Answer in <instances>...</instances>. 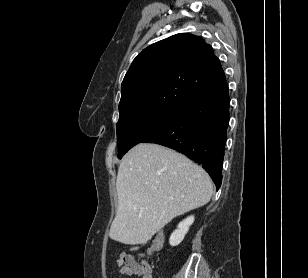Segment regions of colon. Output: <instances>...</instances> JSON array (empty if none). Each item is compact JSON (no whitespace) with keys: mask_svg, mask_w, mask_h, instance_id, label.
Returning <instances> with one entry per match:
<instances>
[{"mask_svg":"<svg viewBox=\"0 0 308 278\" xmlns=\"http://www.w3.org/2000/svg\"><path fill=\"white\" fill-rule=\"evenodd\" d=\"M158 234L159 235L156 236V238L152 242L151 247L149 248V253L157 251L163 242L164 237L163 235H161L162 233L159 232ZM136 247V245L131 246L129 248V251L131 253H134L136 251ZM146 265V262L143 261L141 263H138L133 257L125 253L119 260V266L126 272V275H141L145 272Z\"/></svg>","mask_w":308,"mask_h":278,"instance_id":"colon-1","label":"colon"}]
</instances>
